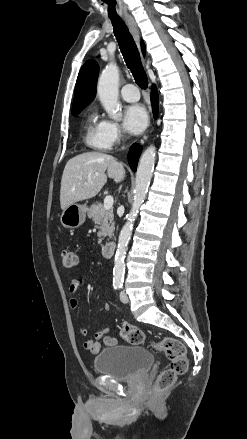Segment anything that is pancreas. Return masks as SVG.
I'll return each instance as SVG.
<instances>
[{
    "label": "pancreas",
    "mask_w": 247,
    "mask_h": 439,
    "mask_svg": "<svg viewBox=\"0 0 247 439\" xmlns=\"http://www.w3.org/2000/svg\"><path fill=\"white\" fill-rule=\"evenodd\" d=\"M88 217L99 226L98 244L101 245L105 237L112 238L115 229L112 209L105 210L101 203L93 204L88 210Z\"/></svg>",
    "instance_id": "cf45deb5"
}]
</instances>
